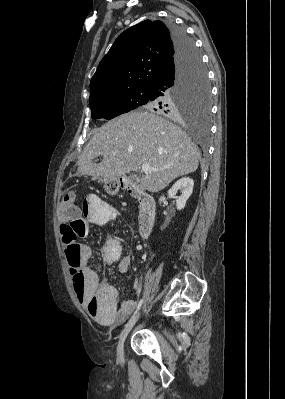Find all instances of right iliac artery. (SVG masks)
Masks as SVG:
<instances>
[{"label":"right iliac artery","instance_id":"obj_1","mask_svg":"<svg viewBox=\"0 0 285 399\" xmlns=\"http://www.w3.org/2000/svg\"><path fill=\"white\" fill-rule=\"evenodd\" d=\"M144 302V299H140V301L138 302L137 308L134 312V314L132 315L131 319L129 320V322L135 317V315L137 314V312L139 311V309L141 308L142 304Z\"/></svg>","mask_w":285,"mask_h":399}]
</instances>
